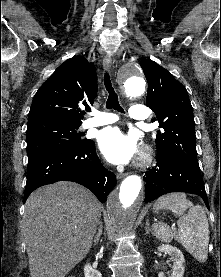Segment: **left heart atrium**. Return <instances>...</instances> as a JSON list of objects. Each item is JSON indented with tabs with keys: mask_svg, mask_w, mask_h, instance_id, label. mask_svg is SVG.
Masks as SVG:
<instances>
[{
	"mask_svg": "<svg viewBox=\"0 0 221 277\" xmlns=\"http://www.w3.org/2000/svg\"><path fill=\"white\" fill-rule=\"evenodd\" d=\"M98 144L104 157L114 164L129 163L139 154L137 138L118 127L103 129L98 135Z\"/></svg>",
	"mask_w": 221,
	"mask_h": 277,
	"instance_id": "left-heart-atrium-1",
	"label": "left heart atrium"
}]
</instances>
